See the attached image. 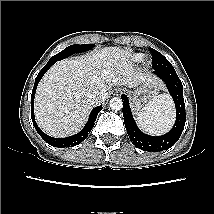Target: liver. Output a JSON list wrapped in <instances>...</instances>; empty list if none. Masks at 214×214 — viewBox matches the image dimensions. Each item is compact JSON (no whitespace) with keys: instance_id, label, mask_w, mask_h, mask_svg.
Returning a JSON list of instances; mask_svg holds the SVG:
<instances>
[{"instance_id":"liver-1","label":"liver","mask_w":214,"mask_h":214,"mask_svg":"<svg viewBox=\"0 0 214 214\" xmlns=\"http://www.w3.org/2000/svg\"><path fill=\"white\" fill-rule=\"evenodd\" d=\"M129 55L127 50L105 47L53 65L43 76L35 95L38 126L53 137L74 134L82 128L95 105L87 100L89 91L110 92L116 85L134 88L145 82H156L148 74L136 71Z\"/></svg>"}]
</instances>
